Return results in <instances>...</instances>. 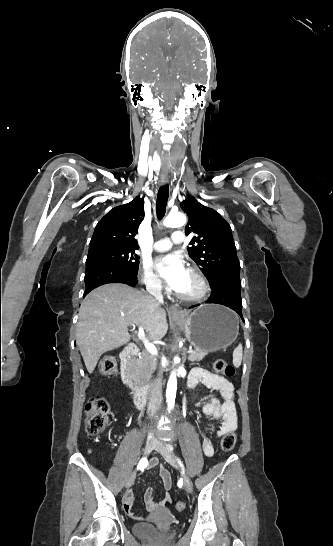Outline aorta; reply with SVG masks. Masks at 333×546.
<instances>
[{
  "instance_id": "1",
  "label": "aorta",
  "mask_w": 333,
  "mask_h": 546,
  "mask_svg": "<svg viewBox=\"0 0 333 546\" xmlns=\"http://www.w3.org/2000/svg\"><path fill=\"white\" fill-rule=\"evenodd\" d=\"M187 219L186 216L181 213H170L165 220L163 221V225L165 227L170 228H177L182 227L186 224ZM178 360V358H175ZM176 390H177V375L176 372L173 371L169 377L168 383H167V389H166V399L168 403V410H172L175 404V397H176Z\"/></svg>"
}]
</instances>
